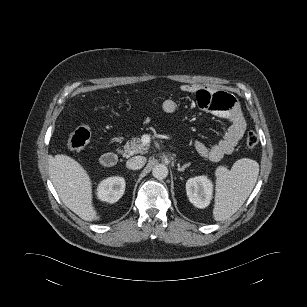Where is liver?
Wrapping results in <instances>:
<instances>
[{
  "mask_svg": "<svg viewBox=\"0 0 307 307\" xmlns=\"http://www.w3.org/2000/svg\"><path fill=\"white\" fill-rule=\"evenodd\" d=\"M50 179L62 202L85 221L99 220L92 204V185L86 170L73 158L48 156Z\"/></svg>",
  "mask_w": 307,
  "mask_h": 307,
  "instance_id": "1",
  "label": "liver"
}]
</instances>
